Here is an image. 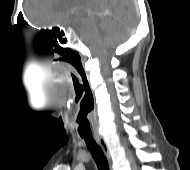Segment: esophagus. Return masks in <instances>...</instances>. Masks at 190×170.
I'll return each mask as SVG.
<instances>
[{
    "instance_id": "obj_1",
    "label": "esophagus",
    "mask_w": 190,
    "mask_h": 170,
    "mask_svg": "<svg viewBox=\"0 0 190 170\" xmlns=\"http://www.w3.org/2000/svg\"><path fill=\"white\" fill-rule=\"evenodd\" d=\"M95 140L99 144V146L101 147V149L103 150V152H104L105 156L107 157V159L109 161H111V156H110L109 148H108V145H107L105 139L102 136H100V135H95Z\"/></svg>"
}]
</instances>
